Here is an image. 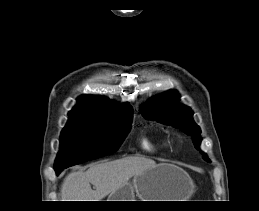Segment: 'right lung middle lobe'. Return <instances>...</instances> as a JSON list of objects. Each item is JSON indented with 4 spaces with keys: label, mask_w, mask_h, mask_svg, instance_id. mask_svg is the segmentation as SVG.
I'll return each mask as SVG.
<instances>
[{
    "label": "right lung middle lobe",
    "mask_w": 259,
    "mask_h": 211,
    "mask_svg": "<svg viewBox=\"0 0 259 211\" xmlns=\"http://www.w3.org/2000/svg\"><path fill=\"white\" fill-rule=\"evenodd\" d=\"M132 114L117 116L69 115L60 136L54 169H63L117 151L129 132Z\"/></svg>",
    "instance_id": "right-lung-middle-lobe-1"
}]
</instances>
